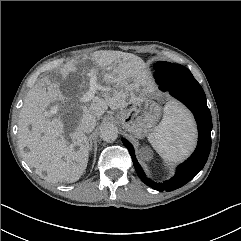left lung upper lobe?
<instances>
[{
	"instance_id": "obj_1",
	"label": "left lung upper lobe",
	"mask_w": 241,
	"mask_h": 241,
	"mask_svg": "<svg viewBox=\"0 0 241 241\" xmlns=\"http://www.w3.org/2000/svg\"><path fill=\"white\" fill-rule=\"evenodd\" d=\"M154 69L155 73L162 77L165 83L172 88L196 82L191 72L179 64L160 61L154 65Z\"/></svg>"
}]
</instances>
